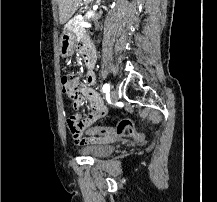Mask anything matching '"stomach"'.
<instances>
[{"label": "stomach", "mask_w": 217, "mask_h": 202, "mask_svg": "<svg viewBox=\"0 0 217 202\" xmlns=\"http://www.w3.org/2000/svg\"><path fill=\"white\" fill-rule=\"evenodd\" d=\"M84 2L85 4H89V2H93V0H84ZM75 44V34H73V32H70V30H64L60 38V56H62V58H68V56H72Z\"/></svg>", "instance_id": "0dacf381"}]
</instances>
